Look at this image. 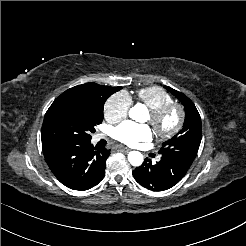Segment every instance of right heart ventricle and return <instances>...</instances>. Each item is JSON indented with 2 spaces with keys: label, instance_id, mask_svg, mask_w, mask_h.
Listing matches in <instances>:
<instances>
[{
  "label": "right heart ventricle",
  "instance_id": "1",
  "mask_svg": "<svg viewBox=\"0 0 246 246\" xmlns=\"http://www.w3.org/2000/svg\"><path fill=\"white\" fill-rule=\"evenodd\" d=\"M137 101L149 110H155L163 105L174 103L173 96L160 86H148L136 92Z\"/></svg>",
  "mask_w": 246,
  "mask_h": 246
}]
</instances>
